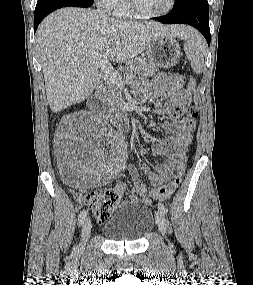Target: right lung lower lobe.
<instances>
[{"mask_svg":"<svg viewBox=\"0 0 253 285\" xmlns=\"http://www.w3.org/2000/svg\"><path fill=\"white\" fill-rule=\"evenodd\" d=\"M93 2L86 0H38L34 13V32L39 23L51 12L62 7H89Z\"/></svg>","mask_w":253,"mask_h":285,"instance_id":"98d812e1","label":"right lung lower lobe"}]
</instances>
